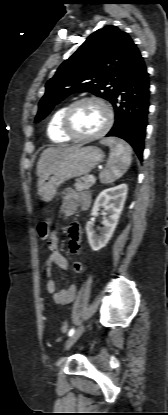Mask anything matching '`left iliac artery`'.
<instances>
[{
	"mask_svg": "<svg viewBox=\"0 0 168 415\" xmlns=\"http://www.w3.org/2000/svg\"><path fill=\"white\" fill-rule=\"evenodd\" d=\"M74 332H75V329H74V328L70 329V331H69V333H68V336L73 335V333H74Z\"/></svg>",
	"mask_w": 168,
	"mask_h": 415,
	"instance_id": "44dca946",
	"label": "left iliac artery"
}]
</instances>
